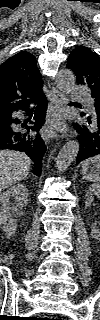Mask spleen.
<instances>
[{"label":"spleen","instance_id":"3e777b00","mask_svg":"<svg viewBox=\"0 0 100 320\" xmlns=\"http://www.w3.org/2000/svg\"><path fill=\"white\" fill-rule=\"evenodd\" d=\"M93 165L95 168V172L93 169L89 172V166ZM99 165H100V157L94 156L90 157L89 159H86L82 163V177L84 180L91 181L94 183H99L100 177H99Z\"/></svg>","mask_w":100,"mask_h":320}]
</instances>
